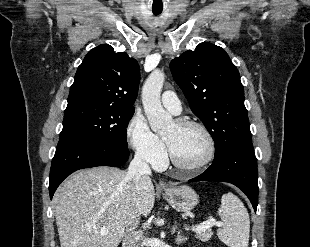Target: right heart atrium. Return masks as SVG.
<instances>
[{
  "mask_svg": "<svg viewBox=\"0 0 310 247\" xmlns=\"http://www.w3.org/2000/svg\"><path fill=\"white\" fill-rule=\"evenodd\" d=\"M126 137L135 154L145 162L160 168L166 160V150L163 141L154 134L146 119L134 115L126 128Z\"/></svg>",
  "mask_w": 310,
  "mask_h": 247,
  "instance_id": "1",
  "label": "right heart atrium"
}]
</instances>
